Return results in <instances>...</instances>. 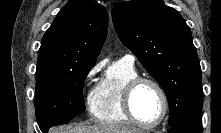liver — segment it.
Segmentation results:
<instances>
[{
  "label": "liver",
  "instance_id": "6515ba94",
  "mask_svg": "<svg viewBox=\"0 0 221 133\" xmlns=\"http://www.w3.org/2000/svg\"><path fill=\"white\" fill-rule=\"evenodd\" d=\"M50 133H143L134 127L116 125L110 123H99L95 125H67L50 130Z\"/></svg>",
  "mask_w": 221,
  "mask_h": 133
}]
</instances>
